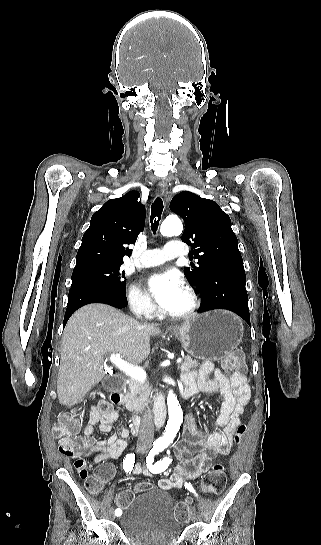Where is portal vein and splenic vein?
<instances>
[{
	"mask_svg": "<svg viewBox=\"0 0 321 545\" xmlns=\"http://www.w3.org/2000/svg\"><path fill=\"white\" fill-rule=\"evenodd\" d=\"M110 361L111 363H114V365H116L117 369H120V371H123L125 375L131 377V379H136V381H141V383H144L146 379V371H144V369H141V367H136V365H130V363H127V361H123L120 355H116V353H112ZM181 362L182 357H177V364H181Z\"/></svg>",
	"mask_w": 321,
	"mask_h": 545,
	"instance_id": "1",
	"label": "portal vein and splenic vein"
}]
</instances>
